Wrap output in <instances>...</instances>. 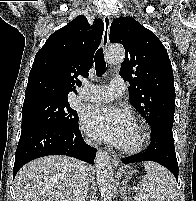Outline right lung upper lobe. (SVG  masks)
<instances>
[{
	"instance_id": "1",
	"label": "right lung upper lobe",
	"mask_w": 196,
	"mask_h": 201,
	"mask_svg": "<svg viewBox=\"0 0 196 201\" xmlns=\"http://www.w3.org/2000/svg\"><path fill=\"white\" fill-rule=\"evenodd\" d=\"M104 24L95 19L90 26L84 15L54 32L37 52L29 73L25 99L37 96L67 98L80 76L87 77L93 65Z\"/></svg>"
}]
</instances>
